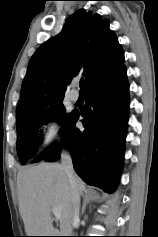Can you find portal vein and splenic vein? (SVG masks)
Returning a JSON list of instances; mask_svg holds the SVG:
<instances>
[{"label": "portal vein and splenic vein", "mask_w": 158, "mask_h": 237, "mask_svg": "<svg viewBox=\"0 0 158 237\" xmlns=\"http://www.w3.org/2000/svg\"><path fill=\"white\" fill-rule=\"evenodd\" d=\"M52 212H53L55 218H56L57 220H59L60 217H61V214H60V211L58 210V208L53 207V208H52Z\"/></svg>", "instance_id": "1"}]
</instances>
